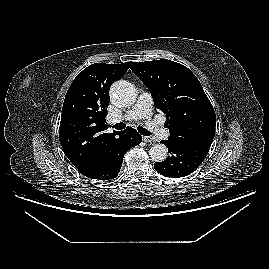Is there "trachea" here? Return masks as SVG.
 <instances>
[{"instance_id":"3493384b","label":"trachea","mask_w":269,"mask_h":269,"mask_svg":"<svg viewBox=\"0 0 269 269\" xmlns=\"http://www.w3.org/2000/svg\"><path fill=\"white\" fill-rule=\"evenodd\" d=\"M112 127L117 129V130H122V129H125L126 125H125V123L120 122V123L113 125ZM137 129L144 136L150 135V132L147 129L143 128L142 126H139Z\"/></svg>"}]
</instances>
